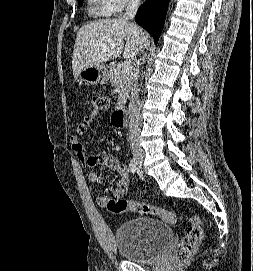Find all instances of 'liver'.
<instances>
[{
	"instance_id": "liver-1",
	"label": "liver",
	"mask_w": 253,
	"mask_h": 271,
	"mask_svg": "<svg viewBox=\"0 0 253 271\" xmlns=\"http://www.w3.org/2000/svg\"><path fill=\"white\" fill-rule=\"evenodd\" d=\"M149 44L148 35L140 27L123 18L105 19L84 25L77 32L74 44V78L76 79L86 67L116 59L122 53L124 59H131Z\"/></svg>"
}]
</instances>
